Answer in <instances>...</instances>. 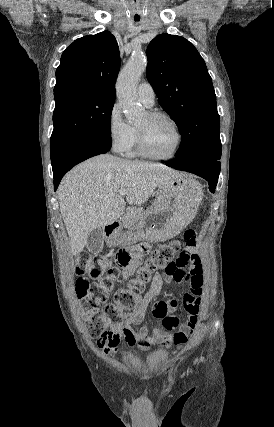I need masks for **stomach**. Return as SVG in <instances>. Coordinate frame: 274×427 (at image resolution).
<instances>
[{"instance_id":"1","label":"stomach","mask_w":274,"mask_h":427,"mask_svg":"<svg viewBox=\"0 0 274 427\" xmlns=\"http://www.w3.org/2000/svg\"><path fill=\"white\" fill-rule=\"evenodd\" d=\"M194 180L189 176L171 178L165 186H159L157 200L150 210L129 231L121 227L106 235L107 243L128 245L134 241H165L180 233L190 223L200 204L197 194L199 188L192 186Z\"/></svg>"}]
</instances>
